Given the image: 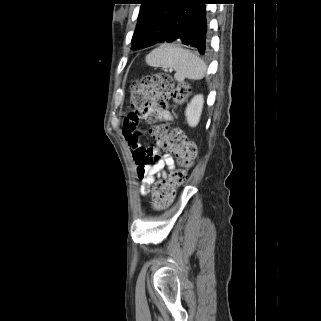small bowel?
I'll use <instances>...</instances> for the list:
<instances>
[{
  "instance_id": "1",
  "label": "small bowel",
  "mask_w": 321,
  "mask_h": 321,
  "mask_svg": "<svg viewBox=\"0 0 321 321\" xmlns=\"http://www.w3.org/2000/svg\"><path fill=\"white\" fill-rule=\"evenodd\" d=\"M173 118L167 105L157 102L143 110L132 111L127 114L123 122V136L130 148L136 163V170L142 185L139 188L141 195L147 193V188L157 178H166V170L174 169V158L170 153L161 154V142L156 139L154 147H145L140 142L139 131L141 121L156 119L158 121H171ZM153 138L154 126L150 129Z\"/></svg>"
}]
</instances>
